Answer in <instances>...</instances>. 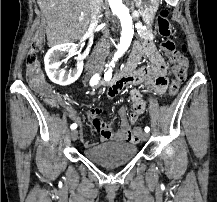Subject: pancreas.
<instances>
[{"mask_svg": "<svg viewBox=\"0 0 217 202\" xmlns=\"http://www.w3.org/2000/svg\"><path fill=\"white\" fill-rule=\"evenodd\" d=\"M138 34L141 35V37L144 41H153L154 31L139 30Z\"/></svg>", "mask_w": 217, "mask_h": 202, "instance_id": "cf45deb5", "label": "pancreas"}]
</instances>
